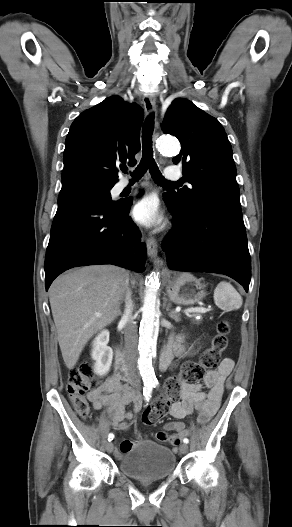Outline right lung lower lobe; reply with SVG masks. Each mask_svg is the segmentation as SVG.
<instances>
[{
	"mask_svg": "<svg viewBox=\"0 0 292 527\" xmlns=\"http://www.w3.org/2000/svg\"><path fill=\"white\" fill-rule=\"evenodd\" d=\"M132 201L107 204L88 195L58 198L45 257V286L77 266L114 264L145 270L146 246L128 216Z\"/></svg>",
	"mask_w": 292,
	"mask_h": 527,
	"instance_id": "98d812e1",
	"label": "right lung lower lobe"
}]
</instances>
